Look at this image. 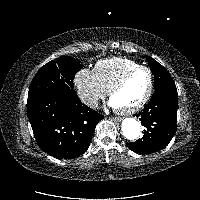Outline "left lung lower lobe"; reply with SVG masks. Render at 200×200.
I'll list each match as a JSON object with an SVG mask.
<instances>
[{
  "mask_svg": "<svg viewBox=\"0 0 200 200\" xmlns=\"http://www.w3.org/2000/svg\"><path fill=\"white\" fill-rule=\"evenodd\" d=\"M177 89L161 88L155 91L150 102L138 113L146 128L143 138L127 143L139 154H151L166 147L177 129Z\"/></svg>",
  "mask_w": 200,
  "mask_h": 200,
  "instance_id": "1",
  "label": "left lung lower lobe"
}]
</instances>
